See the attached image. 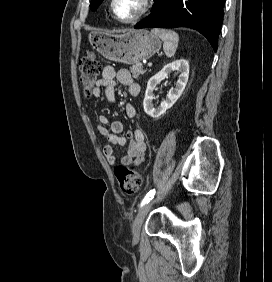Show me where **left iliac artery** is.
Instances as JSON below:
<instances>
[{
  "label": "left iliac artery",
  "mask_w": 272,
  "mask_h": 282,
  "mask_svg": "<svg viewBox=\"0 0 272 282\" xmlns=\"http://www.w3.org/2000/svg\"><path fill=\"white\" fill-rule=\"evenodd\" d=\"M154 195H155V189L149 191V193H147V195L142 200L140 207H142L143 205L148 203L150 200H152L154 198Z\"/></svg>",
  "instance_id": "obj_1"
}]
</instances>
